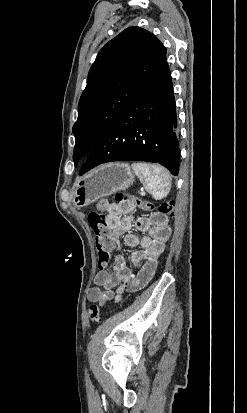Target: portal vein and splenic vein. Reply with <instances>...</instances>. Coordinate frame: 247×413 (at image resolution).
<instances>
[{
	"mask_svg": "<svg viewBox=\"0 0 247 413\" xmlns=\"http://www.w3.org/2000/svg\"><path fill=\"white\" fill-rule=\"evenodd\" d=\"M141 193H140V196L141 197H144L145 196V192H143L142 190L140 191Z\"/></svg>",
	"mask_w": 247,
	"mask_h": 413,
	"instance_id": "obj_1",
	"label": "portal vein and splenic vein"
}]
</instances>
